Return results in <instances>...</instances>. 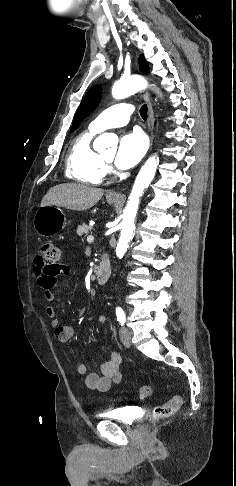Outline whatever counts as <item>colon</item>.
<instances>
[{"label":"colon","instance_id":"5ec220e1","mask_svg":"<svg viewBox=\"0 0 236 486\" xmlns=\"http://www.w3.org/2000/svg\"><path fill=\"white\" fill-rule=\"evenodd\" d=\"M61 257L60 248L52 242H47L42 247L41 259L48 267H55ZM153 393V388L149 385H143L139 388V396L147 398ZM183 404V398L179 395L173 396L167 403L156 406L153 409L152 419L154 421L166 419L175 414Z\"/></svg>","mask_w":236,"mask_h":486}]
</instances>
